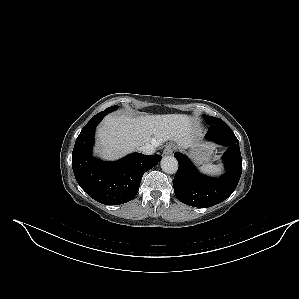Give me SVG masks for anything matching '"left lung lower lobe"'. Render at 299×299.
<instances>
[{"label":"left lung lower lobe","instance_id":"1","mask_svg":"<svg viewBox=\"0 0 299 299\" xmlns=\"http://www.w3.org/2000/svg\"><path fill=\"white\" fill-rule=\"evenodd\" d=\"M206 139L228 146L222 157L227 173L217 179L200 174L187 156L174 154L179 163L173 181L175 195L182 203L198 208L211 207L227 199L242 173L239 141L226 123L211 125Z\"/></svg>","mask_w":299,"mask_h":299}]
</instances>
